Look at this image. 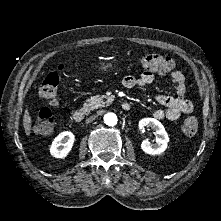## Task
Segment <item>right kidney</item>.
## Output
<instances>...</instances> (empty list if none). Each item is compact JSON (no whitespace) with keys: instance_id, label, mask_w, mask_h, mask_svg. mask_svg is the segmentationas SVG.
<instances>
[{"instance_id":"obj_1","label":"right kidney","mask_w":221,"mask_h":221,"mask_svg":"<svg viewBox=\"0 0 221 221\" xmlns=\"http://www.w3.org/2000/svg\"><path fill=\"white\" fill-rule=\"evenodd\" d=\"M75 136L70 131L61 132L52 142L50 153L55 158H65L72 149Z\"/></svg>"}]
</instances>
